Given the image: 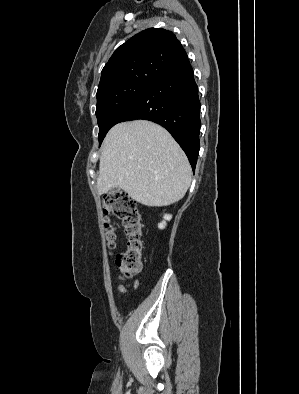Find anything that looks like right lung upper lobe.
<instances>
[{"label":"right lung upper lobe","mask_w":299,"mask_h":394,"mask_svg":"<svg viewBox=\"0 0 299 394\" xmlns=\"http://www.w3.org/2000/svg\"><path fill=\"white\" fill-rule=\"evenodd\" d=\"M187 58L171 31L146 29L115 50L101 72L97 95L125 83H153Z\"/></svg>","instance_id":"1"}]
</instances>
